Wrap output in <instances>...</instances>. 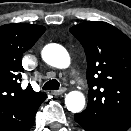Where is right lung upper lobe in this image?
<instances>
[{
	"label": "right lung upper lobe",
	"instance_id": "1",
	"mask_svg": "<svg viewBox=\"0 0 131 131\" xmlns=\"http://www.w3.org/2000/svg\"><path fill=\"white\" fill-rule=\"evenodd\" d=\"M40 25L15 23L0 26V117L14 116L39 106L46 95L29 85L21 88V57L45 32Z\"/></svg>",
	"mask_w": 131,
	"mask_h": 131
}]
</instances>
